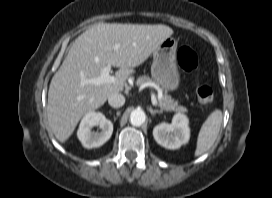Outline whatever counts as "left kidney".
Here are the masks:
<instances>
[{"instance_id": "5707ae66", "label": "left kidney", "mask_w": 272, "mask_h": 198, "mask_svg": "<svg viewBox=\"0 0 272 198\" xmlns=\"http://www.w3.org/2000/svg\"><path fill=\"white\" fill-rule=\"evenodd\" d=\"M189 120L186 115H174L172 123H161L153 129L156 142L167 149H178L190 138Z\"/></svg>"}]
</instances>
